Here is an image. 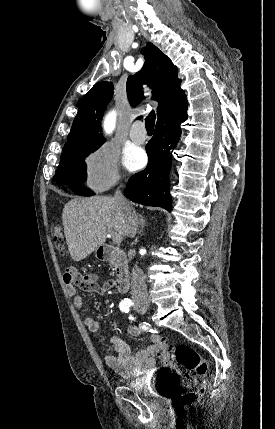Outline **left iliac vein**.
<instances>
[{
	"mask_svg": "<svg viewBox=\"0 0 275 429\" xmlns=\"http://www.w3.org/2000/svg\"><path fill=\"white\" fill-rule=\"evenodd\" d=\"M138 312H140V313H144L145 311H143V310H141V309H138Z\"/></svg>",
	"mask_w": 275,
	"mask_h": 429,
	"instance_id": "4c4485c4",
	"label": "left iliac vein"
}]
</instances>
